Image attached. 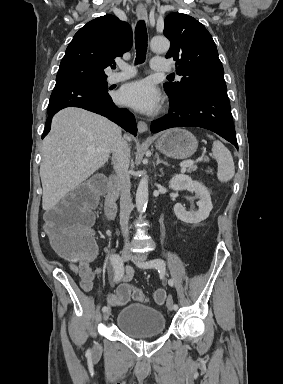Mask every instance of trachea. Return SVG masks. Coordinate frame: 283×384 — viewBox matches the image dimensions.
Instances as JSON below:
<instances>
[{
	"label": "trachea",
	"mask_w": 283,
	"mask_h": 384,
	"mask_svg": "<svg viewBox=\"0 0 283 384\" xmlns=\"http://www.w3.org/2000/svg\"><path fill=\"white\" fill-rule=\"evenodd\" d=\"M147 47H148V34L146 30V24L144 20H139L135 29V49H136L135 64L136 65L145 62ZM167 77L174 78V75H167Z\"/></svg>",
	"instance_id": "trachea-1"
}]
</instances>
